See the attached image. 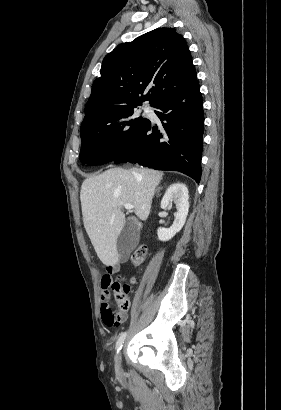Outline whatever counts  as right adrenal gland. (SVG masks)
I'll use <instances>...</instances> for the list:
<instances>
[{
  "label": "right adrenal gland",
  "mask_w": 281,
  "mask_h": 410,
  "mask_svg": "<svg viewBox=\"0 0 281 410\" xmlns=\"http://www.w3.org/2000/svg\"><path fill=\"white\" fill-rule=\"evenodd\" d=\"M161 189H162L161 187L158 188L157 194H159V192H160Z\"/></svg>",
  "instance_id": "2a0ac1e0"
}]
</instances>
